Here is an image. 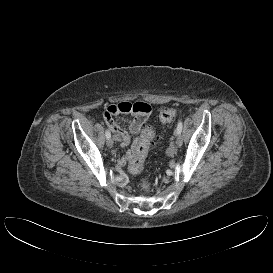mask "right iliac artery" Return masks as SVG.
Wrapping results in <instances>:
<instances>
[{"label": "right iliac artery", "instance_id": "82829eb1", "mask_svg": "<svg viewBox=\"0 0 273 273\" xmlns=\"http://www.w3.org/2000/svg\"><path fill=\"white\" fill-rule=\"evenodd\" d=\"M105 136L107 139H109L111 137V133L109 130H106Z\"/></svg>", "mask_w": 273, "mask_h": 273}]
</instances>
